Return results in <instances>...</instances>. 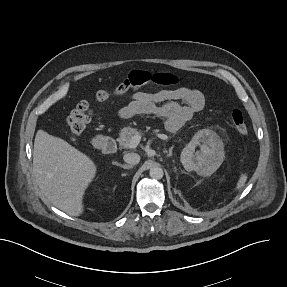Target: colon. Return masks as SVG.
Returning <instances> with one entry per match:
<instances>
[{
  "label": "colon",
  "instance_id": "1",
  "mask_svg": "<svg viewBox=\"0 0 287 287\" xmlns=\"http://www.w3.org/2000/svg\"><path fill=\"white\" fill-rule=\"evenodd\" d=\"M177 82L178 78L171 73H151L144 70H134L113 91H98L94 99L96 102L104 104L113 97L125 98L132 92L149 84L168 87L176 85ZM92 112V104L87 100L80 101L70 112L67 117V129L71 140L77 141L86 130L91 120ZM231 120L239 134H247V125L240 110L234 109L231 112Z\"/></svg>",
  "mask_w": 287,
  "mask_h": 287
}]
</instances>
